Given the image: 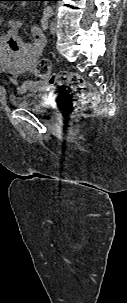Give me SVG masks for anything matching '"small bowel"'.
I'll use <instances>...</instances> for the list:
<instances>
[{
  "instance_id": "obj_1",
  "label": "small bowel",
  "mask_w": 127,
  "mask_h": 303,
  "mask_svg": "<svg viewBox=\"0 0 127 303\" xmlns=\"http://www.w3.org/2000/svg\"><path fill=\"white\" fill-rule=\"evenodd\" d=\"M8 30L0 35V73L6 75L16 85L18 93L28 91L37 92L48 87L45 77L37 74L35 63L41 57L46 46V36L40 26L31 28L32 41L26 42L19 36L22 21L9 19ZM3 18L0 15V26ZM25 73H32L39 78L27 79L18 83V79Z\"/></svg>"
}]
</instances>
